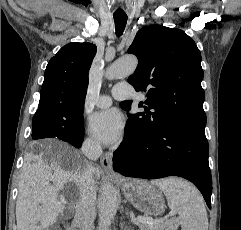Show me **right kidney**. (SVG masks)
Segmentation results:
<instances>
[{
	"mask_svg": "<svg viewBox=\"0 0 241 230\" xmlns=\"http://www.w3.org/2000/svg\"><path fill=\"white\" fill-rule=\"evenodd\" d=\"M46 230H52V229L51 228H49V229L47 228Z\"/></svg>",
	"mask_w": 241,
	"mask_h": 230,
	"instance_id": "obj_1",
	"label": "right kidney"
}]
</instances>
